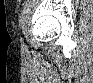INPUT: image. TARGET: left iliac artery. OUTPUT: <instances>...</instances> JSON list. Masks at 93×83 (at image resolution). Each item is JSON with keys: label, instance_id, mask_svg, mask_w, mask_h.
Instances as JSON below:
<instances>
[{"label": "left iliac artery", "instance_id": "44dca946", "mask_svg": "<svg viewBox=\"0 0 93 83\" xmlns=\"http://www.w3.org/2000/svg\"><path fill=\"white\" fill-rule=\"evenodd\" d=\"M20 41L23 42V38H20Z\"/></svg>", "mask_w": 93, "mask_h": 83}]
</instances>
